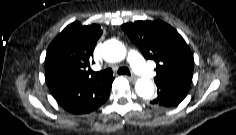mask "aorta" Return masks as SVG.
Listing matches in <instances>:
<instances>
[{
	"instance_id": "1",
	"label": "aorta",
	"mask_w": 236,
	"mask_h": 135,
	"mask_svg": "<svg viewBox=\"0 0 236 135\" xmlns=\"http://www.w3.org/2000/svg\"><path fill=\"white\" fill-rule=\"evenodd\" d=\"M102 55L106 61L118 62L125 58L126 48L117 40H108L102 46ZM138 96L149 99L154 94V84L148 78H140L135 85Z\"/></svg>"
}]
</instances>
